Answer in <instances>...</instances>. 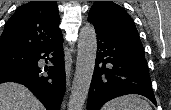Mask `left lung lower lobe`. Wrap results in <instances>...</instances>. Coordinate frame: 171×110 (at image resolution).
<instances>
[{
	"label": "left lung lower lobe",
	"instance_id": "obj_1",
	"mask_svg": "<svg viewBox=\"0 0 171 110\" xmlns=\"http://www.w3.org/2000/svg\"><path fill=\"white\" fill-rule=\"evenodd\" d=\"M95 31L98 54L87 110H99L107 101L126 94L143 95L157 105L144 52Z\"/></svg>",
	"mask_w": 171,
	"mask_h": 110
}]
</instances>
